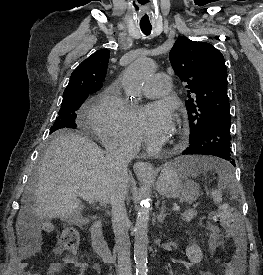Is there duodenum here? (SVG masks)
<instances>
[{"mask_svg": "<svg viewBox=\"0 0 263 275\" xmlns=\"http://www.w3.org/2000/svg\"><path fill=\"white\" fill-rule=\"evenodd\" d=\"M92 246L94 251L105 261L113 258L109 245L104 237L101 221H95L90 229Z\"/></svg>", "mask_w": 263, "mask_h": 275, "instance_id": "410a0bca", "label": "duodenum"}]
</instances>
